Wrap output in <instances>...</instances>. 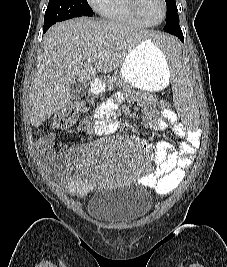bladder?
<instances>
[{
	"label": "bladder",
	"instance_id": "bladder-1",
	"mask_svg": "<svg viewBox=\"0 0 227 267\" xmlns=\"http://www.w3.org/2000/svg\"><path fill=\"white\" fill-rule=\"evenodd\" d=\"M87 173V172H86ZM152 199L135 185L97 188L90 196L87 209L96 221L109 225H131L149 212Z\"/></svg>",
	"mask_w": 227,
	"mask_h": 267
}]
</instances>
